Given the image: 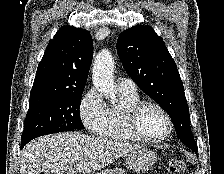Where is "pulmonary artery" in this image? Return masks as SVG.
<instances>
[{
	"instance_id": "obj_1",
	"label": "pulmonary artery",
	"mask_w": 224,
	"mask_h": 174,
	"mask_svg": "<svg viewBox=\"0 0 224 174\" xmlns=\"http://www.w3.org/2000/svg\"><path fill=\"white\" fill-rule=\"evenodd\" d=\"M117 86H118L119 91H121V92L130 93V94L137 93V86L130 79L119 78L117 81Z\"/></svg>"
}]
</instances>
